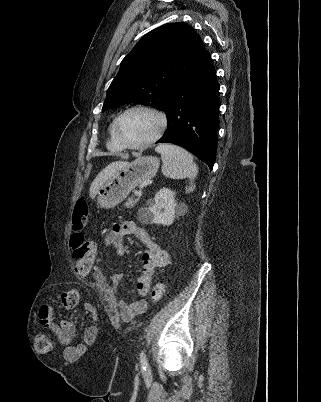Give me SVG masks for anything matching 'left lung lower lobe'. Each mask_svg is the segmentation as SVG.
I'll return each mask as SVG.
<instances>
[{
  "mask_svg": "<svg viewBox=\"0 0 321 402\" xmlns=\"http://www.w3.org/2000/svg\"><path fill=\"white\" fill-rule=\"evenodd\" d=\"M219 107L216 71L210 53L205 51L167 97L163 110L168 128L157 143L182 146L212 169L217 150Z\"/></svg>",
  "mask_w": 321,
  "mask_h": 402,
  "instance_id": "left-lung-lower-lobe-1",
  "label": "left lung lower lobe"
}]
</instances>
